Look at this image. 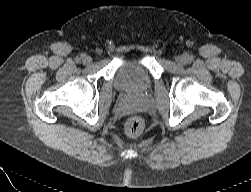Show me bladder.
Returning <instances> with one entry per match:
<instances>
[{
	"instance_id": "1",
	"label": "bladder",
	"mask_w": 251,
	"mask_h": 192,
	"mask_svg": "<svg viewBox=\"0 0 251 192\" xmlns=\"http://www.w3.org/2000/svg\"><path fill=\"white\" fill-rule=\"evenodd\" d=\"M114 84L121 91L145 92L151 89L153 78L142 62L133 59L119 67Z\"/></svg>"
}]
</instances>
